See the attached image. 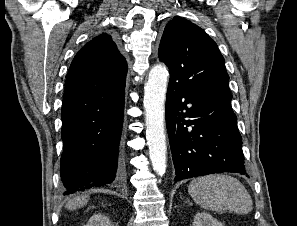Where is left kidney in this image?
Returning <instances> with one entry per match:
<instances>
[{
  "instance_id": "1",
  "label": "left kidney",
  "mask_w": 297,
  "mask_h": 226,
  "mask_svg": "<svg viewBox=\"0 0 297 226\" xmlns=\"http://www.w3.org/2000/svg\"><path fill=\"white\" fill-rule=\"evenodd\" d=\"M192 226H224V224L208 213L199 212L194 217Z\"/></svg>"
}]
</instances>
